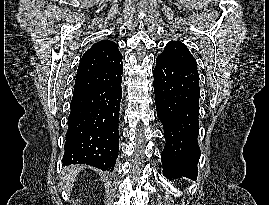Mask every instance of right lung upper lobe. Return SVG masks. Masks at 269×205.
Here are the masks:
<instances>
[{
    "label": "right lung upper lobe",
    "mask_w": 269,
    "mask_h": 205,
    "mask_svg": "<svg viewBox=\"0 0 269 205\" xmlns=\"http://www.w3.org/2000/svg\"><path fill=\"white\" fill-rule=\"evenodd\" d=\"M122 55L118 45L109 40L95 43L82 56L74 90L109 86L122 79Z\"/></svg>",
    "instance_id": "right-lung-upper-lobe-1"
}]
</instances>
